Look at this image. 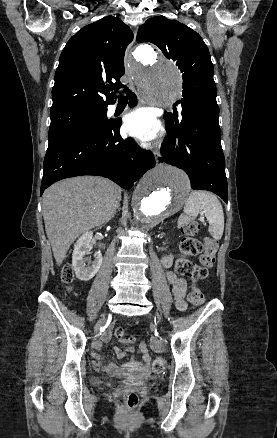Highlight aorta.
Returning a JSON list of instances; mask_svg holds the SVG:
<instances>
[{
    "label": "aorta",
    "mask_w": 277,
    "mask_h": 438,
    "mask_svg": "<svg viewBox=\"0 0 277 438\" xmlns=\"http://www.w3.org/2000/svg\"><path fill=\"white\" fill-rule=\"evenodd\" d=\"M135 56L140 64L134 77L142 94L156 105L170 104L181 91L176 65L145 45L137 47ZM189 190V179L182 170L157 166L143 176L134 191L129 225L141 229L154 227L182 208Z\"/></svg>",
    "instance_id": "1"
}]
</instances>
